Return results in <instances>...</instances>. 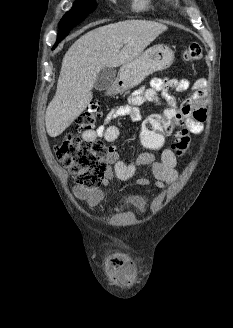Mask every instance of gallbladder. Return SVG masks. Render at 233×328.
<instances>
[{"label":"gallbladder","instance_id":"obj_1","mask_svg":"<svg viewBox=\"0 0 233 328\" xmlns=\"http://www.w3.org/2000/svg\"><path fill=\"white\" fill-rule=\"evenodd\" d=\"M115 70L111 67H104L97 75L94 88L102 91L110 87L115 80Z\"/></svg>","mask_w":233,"mask_h":328}]
</instances>
